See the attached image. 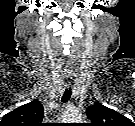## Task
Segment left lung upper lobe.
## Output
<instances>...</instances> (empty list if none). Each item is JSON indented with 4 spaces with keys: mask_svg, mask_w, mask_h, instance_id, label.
<instances>
[{
    "mask_svg": "<svg viewBox=\"0 0 135 126\" xmlns=\"http://www.w3.org/2000/svg\"><path fill=\"white\" fill-rule=\"evenodd\" d=\"M91 126H125L130 125V120L118 112L95 102L86 110Z\"/></svg>",
    "mask_w": 135,
    "mask_h": 126,
    "instance_id": "1",
    "label": "left lung upper lobe"
}]
</instances>
